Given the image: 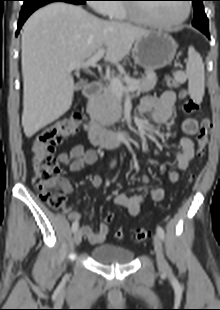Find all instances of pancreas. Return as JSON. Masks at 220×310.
<instances>
[{"label": "pancreas", "instance_id": "1", "mask_svg": "<svg viewBox=\"0 0 220 310\" xmlns=\"http://www.w3.org/2000/svg\"><path fill=\"white\" fill-rule=\"evenodd\" d=\"M117 79L121 83L125 82L121 74ZM156 82V74L153 71H146L142 80L130 79L127 84L135 83L139 93H146L154 89ZM88 113L93 121L103 126H111L122 115L121 98L114 93L110 85H107L100 95L89 102Z\"/></svg>", "mask_w": 220, "mask_h": 310}]
</instances>
